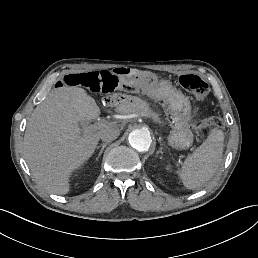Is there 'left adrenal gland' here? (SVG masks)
I'll use <instances>...</instances> for the list:
<instances>
[{"label": "left adrenal gland", "mask_w": 258, "mask_h": 258, "mask_svg": "<svg viewBox=\"0 0 258 258\" xmlns=\"http://www.w3.org/2000/svg\"><path fill=\"white\" fill-rule=\"evenodd\" d=\"M161 153V154H163L164 152H163V146H160L159 147V149L156 151V153Z\"/></svg>", "instance_id": "a2214340"}]
</instances>
